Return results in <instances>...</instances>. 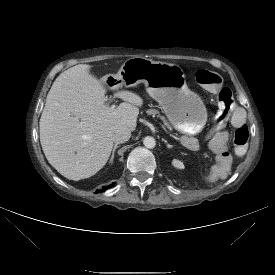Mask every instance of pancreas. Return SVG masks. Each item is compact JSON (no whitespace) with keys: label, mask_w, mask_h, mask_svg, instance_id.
I'll return each mask as SVG.
<instances>
[{"label":"pancreas","mask_w":275,"mask_h":275,"mask_svg":"<svg viewBox=\"0 0 275 275\" xmlns=\"http://www.w3.org/2000/svg\"><path fill=\"white\" fill-rule=\"evenodd\" d=\"M147 114L153 116L157 115V117H160V119L164 122L165 125L169 126L166 119L162 116H159V112L157 110L150 109L147 111ZM181 143L190 149H195L198 146V140L193 137H182Z\"/></svg>","instance_id":"cf45deb5"}]
</instances>
